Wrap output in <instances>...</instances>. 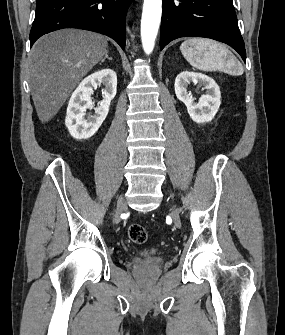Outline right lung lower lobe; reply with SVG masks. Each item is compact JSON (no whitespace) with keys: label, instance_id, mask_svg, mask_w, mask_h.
Wrapping results in <instances>:
<instances>
[{"label":"right lung lower lobe","instance_id":"right-lung-lower-lobe-1","mask_svg":"<svg viewBox=\"0 0 285 335\" xmlns=\"http://www.w3.org/2000/svg\"><path fill=\"white\" fill-rule=\"evenodd\" d=\"M132 0H36L30 46L44 34L83 28L114 39L125 49V17Z\"/></svg>","mask_w":285,"mask_h":335}]
</instances>
